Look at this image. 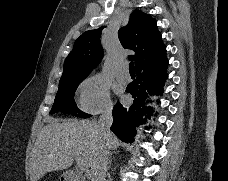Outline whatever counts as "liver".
Returning a JSON list of instances; mask_svg holds the SVG:
<instances>
[{
	"label": "liver",
	"instance_id": "liver-1",
	"mask_svg": "<svg viewBox=\"0 0 228 181\" xmlns=\"http://www.w3.org/2000/svg\"><path fill=\"white\" fill-rule=\"evenodd\" d=\"M94 125V121L49 119L48 125L38 133L30 153V181H40L46 173L69 169L74 157H81L89 169L93 153L102 145L116 151L120 145L117 137L113 133L106 137L97 135Z\"/></svg>",
	"mask_w": 228,
	"mask_h": 181
}]
</instances>
